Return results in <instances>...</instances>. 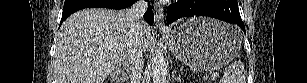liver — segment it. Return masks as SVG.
<instances>
[{
    "label": "liver",
    "instance_id": "liver-1",
    "mask_svg": "<svg viewBox=\"0 0 307 83\" xmlns=\"http://www.w3.org/2000/svg\"><path fill=\"white\" fill-rule=\"evenodd\" d=\"M154 32L146 25L142 48L148 51ZM128 10L88 8L72 14L58 33L53 68L55 83H103L127 56Z\"/></svg>",
    "mask_w": 307,
    "mask_h": 83
}]
</instances>
